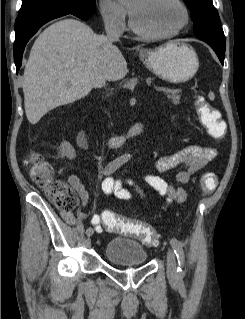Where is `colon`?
Returning <instances> with one entry per match:
<instances>
[{"mask_svg": "<svg viewBox=\"0 0 245 319\" xmlns=\"http://www.w3.org/2000/svg\"><path fill=\"white\" fill-rule=\"evenodd\" d=\"M195 108L201 124L211 138L221 141L226 136V125L221 120L220 113L203 96L195 100ZM33 181L38 184L58 209L64 212L73 211L79 203L75 190L66 182L53 179L51 166L38 155L28 159ZM217 185V177L213 172L206 173L201 186L204 192H211ZM103 224L109 232L135 236L148 246L159 244L156 231L146 222L120 216L113 211L106 210L102 214Z\"/></svg>", "mask_w": 245, "mask_h": 319, "instance_id": "1", "label": "colon"}]
</instances>
